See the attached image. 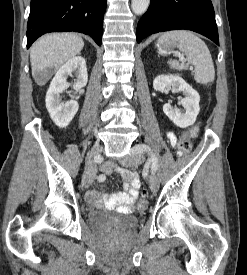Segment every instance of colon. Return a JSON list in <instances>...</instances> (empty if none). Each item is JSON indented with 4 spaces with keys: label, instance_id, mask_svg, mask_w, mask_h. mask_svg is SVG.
I'll use <instances>...</instances> for the list:
<instances>
[{
    "label": "colon",
    "instance_id": "5ec220e1",
    "mask_svg": "<svg viewBox=\"0 0 247 275\" xmlns=\"http://www.w3.org/2000/svg\"><path fill=\"white\" fill-rule=\"evenodd\" d=\"M199 133V127L194 126L183 133L178 142V154H187L192 150V139L195 138ZM148 203V193L143 190L140 193V201L138 208L144 209Z\"/></svg>",
    "mask_w": 247,
    "mask_h": 275
}]
</instances>
